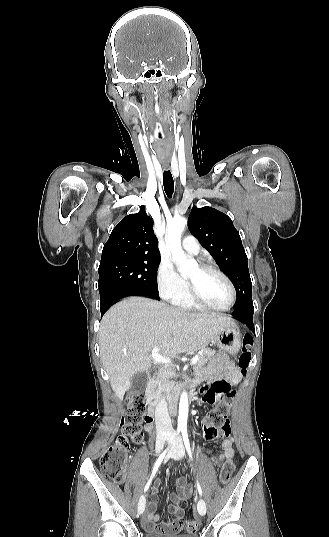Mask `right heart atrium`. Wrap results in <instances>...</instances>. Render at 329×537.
<instances>
[{"instance_id": "1", "label": "right heart atrium", "mask_w": 329, "mask_h": 537, "mask_svg": "<svg viewBox=\"0 0 329 537\" xmlns=\"http://www.w3.org/2000/svg\"><path fill=\"white\" fill-rule=\"evenodd\" d=\"M156 283L161 297L176 302L187 293V283L168 259H162L156 273Z\"/></svg>"}]
</instances>
